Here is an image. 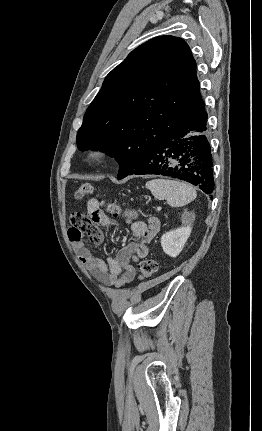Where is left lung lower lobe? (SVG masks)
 <instances>
[{
    "mask_svg": "<svg viewBox=\"0 0 262 431\" xmlns=\"http://www.w3.org/2000/svg\"><path fill=\"white\" fill-rule=\"evenodd\" d=\"M204 110L146 153L128 175L155 174L187 181L206 194L214 189L213 162Z\"/></svg>",
    "mask_w": 262,
    "mask_h": 431,
    "instance_id": "0a47b994",
    "label": "left lung lower lobe"
}]
</instances>
